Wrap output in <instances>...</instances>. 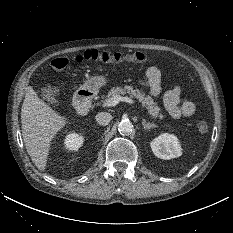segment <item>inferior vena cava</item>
I'll return each instance as SVG.
<instances>
[{
  "mask_svg": "<svg viewBox=\"0 0 233 233\" xmlns=\"http://www.w3.org/2000/svg\"><path fill=\"white\" fill-rule=\"evenodd\" d=\"M95 118L98 124L106 126L112 120V115L108 112H100Z\"/></svg>",
  "mask_w": 233,
  "mask_h": 233,
  "instance_id": "inferior-vena-cava-1",
  "label": "inferior vena cava"
}]
</instances>
